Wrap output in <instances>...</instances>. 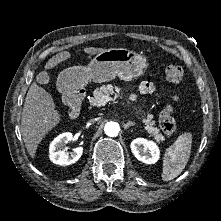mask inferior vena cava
<instances>
[{
	"label": "inferior vena cava",
	"mask_w": 221,
	"mask_h": 221,
	"mask_svg": "<svg viewBox=\"0 0 221 221\" xmlns=\"http://www.w3.org/2000/svg\"><path fill=\"white\" fill-rule=\"evenodd\" d=\"M94 122H95L94 119H91V120L89 121L90 124H92V123H94Z\"/></svg>",
	"instance_id": "obj_1"
}]
</instances>
